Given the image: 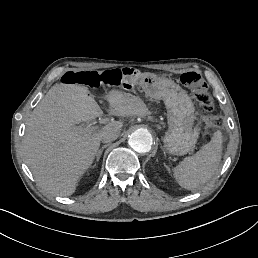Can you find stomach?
Listing matches in <instances>:
<instances>
[{"instance_id": "1", "label": "stomach", "mask_w": 258, "mask_h": 258, "mask_svg": "<svg viewBox=\"0 0 258 258\" xmlns=\"http://www.w3.org/2000/svg\"><path fill=\"white\" fill-rule=\"evenodd\" d=\"M122 83L130 90L139 85L147 96L164 101L169 128L163 141L168 153L185 155L193 151L199 131L193 129L195 109L186 91L169 78L139 72L126 74Z\"/></svg>"}]
</instances>
